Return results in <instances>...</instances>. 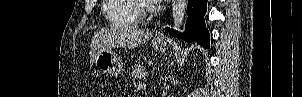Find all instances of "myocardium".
Wrapping results in <instances>:
<instances>
[{"label": "myocardium", "mask_w": 302, "mask_h": 97, "mask_svg": "<svg viewBox=\"0 0 302 97\" xmlns=\"http://www.w3.org/2000/svg\"><path fill=\"white\" fill-rule=\"evenodd\" d=\"M134 7L136 12L141 16L153 10V6L145 0H134Z\"/></svg>", "instance_id": "myocardium-1"}]
</instances>
